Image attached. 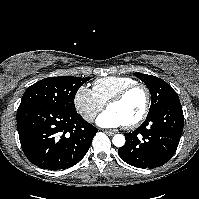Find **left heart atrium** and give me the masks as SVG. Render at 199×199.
Segmentation results:
<instances>
[{
  "label": "left heart atrium",
  "instance_id": "left-heart-atrium-1",
  "mask_svg": "<svg viewBox=\"0 0 199 199\" xmlns=\"http://www.w3.org/2000/svg\"><path fill=\"white\" fill-rule=\"evenodd\" d=\"M96 123L98 126L103 128H116L124 125L122 119L111 110H106L101 113L98 116Z\"/></svg>",
  "mask_w": 199,
  "mask_h": 199
}]
</instances>
